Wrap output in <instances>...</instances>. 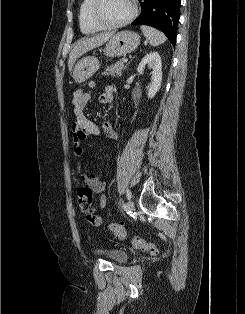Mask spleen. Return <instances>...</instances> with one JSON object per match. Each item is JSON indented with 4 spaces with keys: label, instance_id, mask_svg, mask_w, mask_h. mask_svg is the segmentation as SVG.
I'll list each match as a JSON object with an SVG mask.
<instances>
[{
    "label": "spleen",
    "instance_id": "spleen-1",
    "mask_svg": "<svg viewBox=\"0 0 245 314\" xmlns=\"http://www.w3.org/2000/svg\"><path fill=\"white\" fill-rule=\"evenodd\" d=\"M140 28L151 46L155 47L166 41V37L161 31L147 25H141Z\"/></svg>",
    "mask_w": 245,
    "mask_h": 314
}]
</instances>
